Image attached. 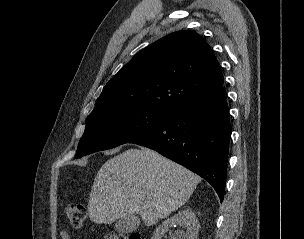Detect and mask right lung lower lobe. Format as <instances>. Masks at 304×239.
<instances>
[{
    "instance_id": "1",
    "label": "right lung lower lobe",
    "mask_w": 304,
    "mask_h": 239,
    "mask_svg": "<svg viewBox=\"0 0 304 239\" xmlns=\"http://www.w3.org/2000/svg\"><path fill=\"white\" fill-rule=\"evenodd\" d=\"M231 126L223 87L170 114L129 143L148 147L207 180L224 199Z\"/></svg>"
}]
</instances>
